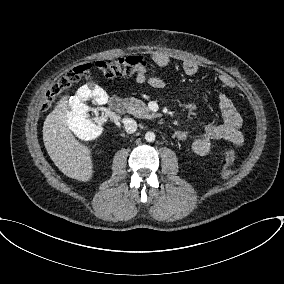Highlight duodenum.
Masks as SVG:
<instances>
[{
    "mask_svg": "<svg viewBox=\"0 0 284 284\" xmlns=\"http://www.w3.org/2000/svg\"><path fill=\"white\" fill-rule=\"evenodd\" d=\"M111 110L116 114H124L126 111L125 102L119 97H112L109 101Z\"/></svg>",
    "mask_w": 284,
    "mask_h": 284,
    "instance_id": "1",
    "label": "duodenum"
}]
</instances>
